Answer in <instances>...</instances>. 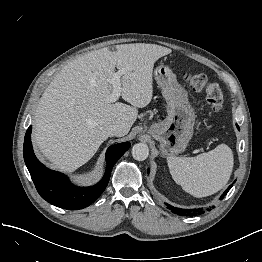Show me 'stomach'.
<instances>
[{"mask_svg": "<svg viewBox=\"0 0 262 262\" xmlns=\"http://www.w3.org/2000/svg\"><path fill=\"white\" fill-rule=\"evenodd\" d=\"M154 76L167 102V117L152 124L148 131L160 142L164 156H174L186 149L193 135L195 112L187 91L178 83L176 75L168 66L156 67Z\"/></svg>", "mask_w": 262, "mask_h": 262, "instance_id": "obj_1", "label": "stomach"}]
</instances>
